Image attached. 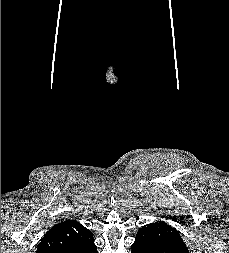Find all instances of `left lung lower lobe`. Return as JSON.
I'll list each match as a JSON object with an SVG mask.
<instances>
[{"mask_svg":"<svg viewBox=\"0 0 229 253\" xmlns=\"http://www.w3.org/2000/svg\"><path fill=\"white\" fill-rule=\"evenodd\" d=\"M131 253H188V249L179 246H156L135 240Z\"/></svg>","mask_w":229,"mask_h":253,"instance_id":"1","label":"left lung lower lobe"}]
</instances>
